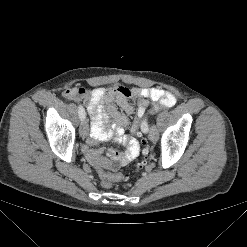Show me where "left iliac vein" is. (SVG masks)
I'll return each instance as SVG.
<instances>
[{"label": "left iliac vein", "instance_id": "4c4485c4", "mask_svg": "<svg viewBox=\"0 0 247 247\" xmlns=\"http://www.w3.org/2000/svg\"><path fill=\"white\" fill-rule=\"evenodd\" d=\"M146 126H143L142 127V131L144 132V133H147L146 132ZM157 129H156V127L155 126H153L152 127V129L150 130V132H149V139L152 141V142H155L156 140H157Z\"/></svg>", "mask_w": 247, "mask_h": 247}]
</instances>
